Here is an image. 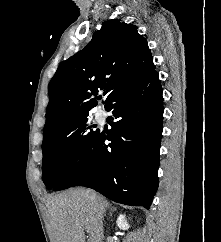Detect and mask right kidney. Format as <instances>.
<instances>
[{
	"label": "right kidney",
	"mask_w": 221,
	"mask_h": 242,
	"mask_svg": "<svg viewBox=\"0 0 221 242\" xmlns=\"http://www.w3.org/2000/svg\"><path fill=\"white\" fill-rule=\"evenodd\" d=\"M116 224L119 227V229H121V230H127L130 227L126 220L125 215H123V214L119 215V217L117 218Z\"/></svg>",
	"instance_id": "right-kidney-1"
}]
</instances>
